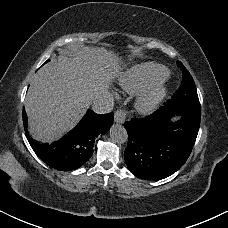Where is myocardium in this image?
<instances>
[{
	"label": "myocardium",
	"mask_w": 228,
	"mask_h": 228,
	"mask_svg": "<svg viewBox=\"0 0 228 228\" xmlns=\"http://www.w3.org/2000/svg\"><path fill=\"white\" fill-rule=\"evenodd\" d=\"M164 90L160 87L151 89L148 91L144 96H142L138 102L137 107L142 112H149L151 111L158 101L163 96Z\"/></svg>",
	"instance_id": "1"
}]
</instances>
